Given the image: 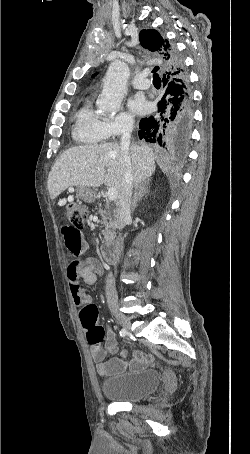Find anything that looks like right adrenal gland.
<instances>
[{
  "instance_id": "1",
  "label": "right adrenal gland",
  "mask_w": 250,
  "mask_h": 454,
  "mask_svg": "<svg viewBox=\"0 0 250 454\" xmlns=\"http://www.w3.org/2000/svg\"><path fill=\"white\" fill-rule=\"evenodd\" d=\"M148 186H149V181H144L141 184H139L138 186H136L135 192H134V198H133V202H132V209H131L132 212H134V210H135L136 203L144 195H146L150 192V190L148 189Z\"/></svg>"
}]
</instances>
